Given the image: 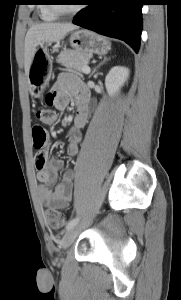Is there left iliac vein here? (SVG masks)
<instances>
[{
    "label": "left iliac vein",
    "instance_id": "obj_1",
    "mask_svg": "<svg viewBox=\"0 0 181 300\" xmlns=\"http://www.w3.org/2000/svg\"><path fill=\"white\" fill-rule=\"evenodd\" d=\"M81 228L82 227L80 225H75L64 234L61 240V246L63 247V249H67L70 247Z\"/></svg>",
    "mask_w": 181,
    "mask_h": 300
}]
</instances>
